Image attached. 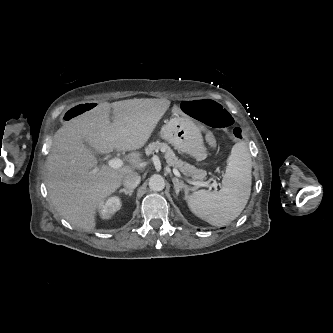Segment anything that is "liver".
Wrapping results in <instances>:
<instances>
[{
  "label": "liver",
  "mask_w": 333,
  "mask_h": 333,
  "mask_svg": "<svg viewBox=\"0 0 333 333\" xmlns=\"http://www.w3.org/2000/svg\"><path fill=\"white\" fill-rule=\"evenodd\" d=\"M170 104L166 99L136 98L103 102L56 131L47 157L46 187L53 207L65 220L86 232L95 229L100 203L136 168L135 162L141 159L136 150L146 144ZM115 149L132 152L127 156L132 166L97 169L94 153L107 154Z\"/></svg>",
  "instance_id": "obj_1"
}]
</instances>
